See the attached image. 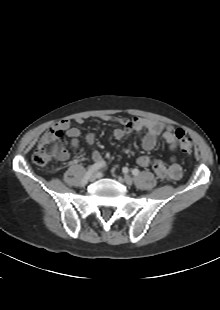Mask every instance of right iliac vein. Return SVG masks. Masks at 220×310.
Here are the masks:
<instances>
[{
  "label": "right iliac vein",
  "instance_id": "right-iliac-vein-1",
  "mask_svg": "<svg viewBox=\"0 0 220 310\" xmlns=\"http://www.w3.org/2000/svg\"><path fill=\"white\" fill-rule=\"evenodd\" d=\"M97 178V174L96 173H93L90 177H89V181L93 182L95 181Z\"/></svg>",
  "mask_w": 220,
  "mask_h": 310
}]
</instances>
